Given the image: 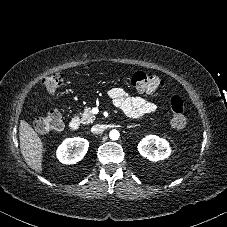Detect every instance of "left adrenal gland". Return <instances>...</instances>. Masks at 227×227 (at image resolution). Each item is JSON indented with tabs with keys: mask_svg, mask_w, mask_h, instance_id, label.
I'll list each match as a JSON object with an SVG mask.
<instances>
[{
	"mask_svg": "<svg viewBox=\"0 0 227 227\" xmlns=\"http://www.w3.org/2000/svg\"><path fill=\"white\" fill-rule=\"evenodd\" d=\"M137 125H130V126H127V128H133V127H136Z\"/></svg>",
	"mask_w": 227,
	"mask_h": 227,
	"instance_id": "a2214340",
	"label": "left adrenal gland"
}]
</instances>
